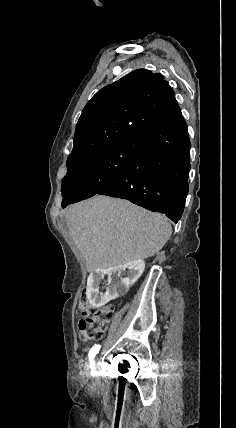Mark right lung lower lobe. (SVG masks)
<instances>
[{"instance_id": "obj_1", "label": "right lung lower lobe", "mask_w": 236, "mask_h": 428, "mask_svg": "<svg viewBox=\"0 0 236 428\" xmlns=\"http://www.w3.org/2000/svg\"><path fill=\"white\" fill-rule=\"evenodd\" d=\"M137 142L131 162L97 194L127 199L177 223L188 194L191 147L181 110L140 135Z\"/></svg>"}]
</instances>
